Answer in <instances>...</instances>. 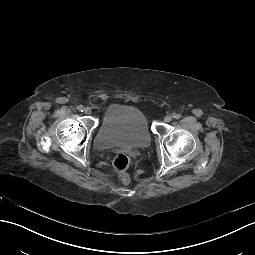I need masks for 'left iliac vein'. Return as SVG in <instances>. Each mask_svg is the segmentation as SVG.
I'll return each mask as SVG.
<instances>
[{"instance_id":"4c4485c4","label":"left iliac vein","mask_w":255,"mask_h":255,"mask_svg":"<svg viewBox=\"0 0 255 255\" xmlns=\"http://www.w3.org/2000/svg\"><path fill=\"white\" fill-rule=\"evenodd\" d=\"M171 120H172V116H171V115H166V116L164 117V121H165L166 123L171 122Z\"/></svg>"}]
</instances>
